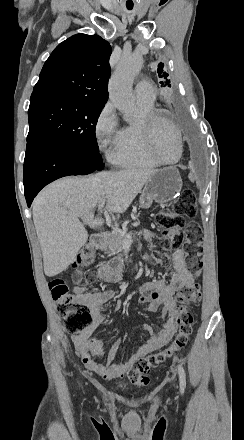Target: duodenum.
<instances>
[{"mask_svg":"<svg viewBox=\"0 0 244 440\" xmlns=\"http://www.w3.org/2000/svg\"><path fill=\"white\" fill-rule=\"evenodd\" d=\"M91 244L96 249L102 250L106 247L105 235L103 233H95L91 237Z\"/></svg>","mask_w":244,"mask_h":440,"instance_id":"1","label":"duodenum"}]
</instances>
